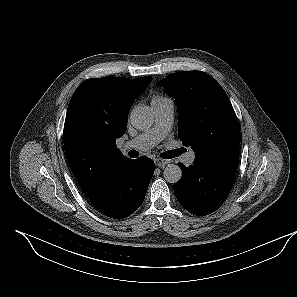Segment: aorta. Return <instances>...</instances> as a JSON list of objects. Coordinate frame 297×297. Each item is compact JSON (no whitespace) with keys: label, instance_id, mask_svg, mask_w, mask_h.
Listing matches in <instances>:
<instances>
[{"label":"aorta","instance_id":"1","mask_svg":"<svg viewBox=\"0 0 297 297\" xmlns=\"http://www.w3.org/2000/svg\"><path fill=\"white\" fill-rule=\"evenodd\" d=\"M132 125L140 130L150 128L154 123L153 111L148 106L136 107L130 115ZM163 176L169 183H177L182 177V170L178 165L168 164L164 169Z\"/></svg>","mask_w":297,"mask_h":297}]
</instances>
